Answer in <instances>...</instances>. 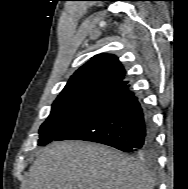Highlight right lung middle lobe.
<instances>
[{
    "mask_svg": "<svg viewBox=\"0 0 188 189\" xmlns=\"http://www.w3.org/2000/svg\"><path fill=\"white\" fill-rule=\"evenodd\" d=\"M107 94L103 91L60 94L52 105L49 117L40 127L38 145L54 140Z\"/></svg>",
    "mask_w": 188,
    "mask_h": 189,
    "instance_id": "obj_1",
    "label": "right lung middle lobe"
}]
</instances>
